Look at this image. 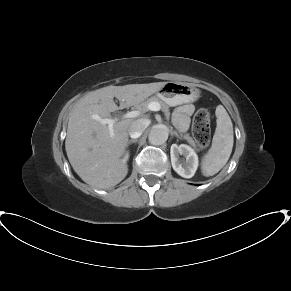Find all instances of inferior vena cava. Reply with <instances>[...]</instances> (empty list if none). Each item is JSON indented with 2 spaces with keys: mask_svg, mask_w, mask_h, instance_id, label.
I'll list each match as a JSON object with an SVG mask.
<instances>
[{
  "mask_svg": "<svg viewBox=\"0 0 291 291\" xmlns=\"http://www.w3.org/2000/svg\"><path fill=\"white\" fill-rule=\"evenodd\" d=\"M150 124L149 119H138L131 123L128 128V133L131 138L136 139L141 136L143 131L148 127Z\"/></svg>",
  "mask_w": 291,
  "mask_h": 291,
  "instance_id": "602c4592",
  "label": "inferior vena cava"
}]
</instances>
